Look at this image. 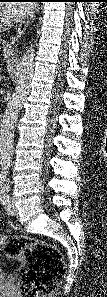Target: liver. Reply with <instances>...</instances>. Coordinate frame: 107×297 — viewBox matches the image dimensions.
Returning <instances> with one entry per match:
<instances>
[{
    "instance_id": "liver-1",
    "label": "liver",
    "mask_w": 107,
    "mask_h": 297,
    "mask_svg": "<svg viewBox=\"0 0 107 297\" xmlns=\"http://www.w3.org/2000/svg\"><path fill=\"white\" fill-rule=\"evenodd\" d=\"M4 52L7 53V54H9V55H12L13 54V49H7V48H5L4 49Z\"/></svg>"
}]
</instances>
